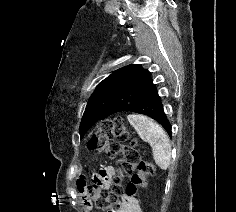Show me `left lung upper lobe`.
Segmentation results:
<instances>
[{"mask_svg": "<svg viewBox=\"0 0 236 212\" xmlns=\"http://www.w3.org/2000/svg\"><path fill=\"white\" fill-rule=\"evenodd\" d=\"M138 66V64H130L120 68L99 83L87 103L81 120L79 128L81 137L101 117Z\"/></svg>", "mask_w": 236, "mask_h": 212, "instance_id": "obj_1", "label": "left lung upper lobe"}]
</instances>
